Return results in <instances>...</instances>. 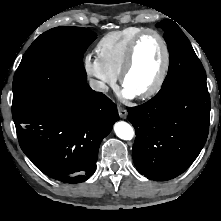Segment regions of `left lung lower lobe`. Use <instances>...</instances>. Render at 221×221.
Returning <instances> with one entry per match:
<instances>
[{
	"label": "left lung lower lobe",
	"instance_id": "left-lung-lower-lobe-1",
	"mask_svg": "<svg viewBox=\"0 0 221 221\" xmlns=\"http://www.w3.org/2000/svg\"><path fill=\"white\" fill-rule=\"evenodd\" d=\"M210 108L207 86L182 82L162 87L146 103L129 108L138 172L155 181L183 173L206 142Z\"/></svg>",
	"mask_w": 221,
	"mask_h": 221
}]
</instances>
